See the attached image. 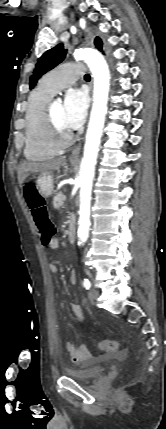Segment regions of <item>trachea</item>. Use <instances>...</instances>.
I'll return each mask as SVG.
<instances>
[{
	"label": "trachea",
	"instance_id": "3493384b",
	"mask_svg": "<svg viewBox=\"0 0 166 429\" xmlns=\"http://www.w3.org/2000/svg\"><path fill=\"white\" fill-rule=\"evenodd\" d=\"M84 78H85V79H90V75H89V74H86Z\"/></svg>",
	"mask_w": 166,
	"mask_h": 429
}]
</instances>
